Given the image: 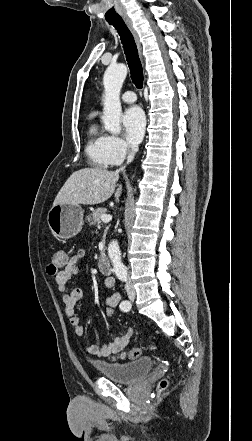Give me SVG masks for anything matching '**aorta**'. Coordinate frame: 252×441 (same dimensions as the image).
I'll return each mask as SVG.
<instances>
[{"label": "aorta", "mask_w": 252, "mask_h": 441, "mask_svg": "<svg viewBox=\"0 0 252 441\" xmlns=\"http://www.w3.org/2000/svg\"><path fill=\"white\" fill-rule=\"evenodd\" d=\"M127 76V67L124 64L110 65L103 77L104 84V109L103 123L107 131L112 134L121 132L120 117L122 107L120 92L123 82ZM108 255L113 265V270L118 277L127 276L126 266L121 261V253L117 240H113L108 247Z\"/></svg>", "instance_id": "obj_1"}]
</instances>
